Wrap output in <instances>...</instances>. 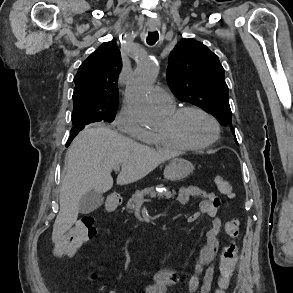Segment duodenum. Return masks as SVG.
Returning <instances> with one entry per match:
<instances>
[{
  "label": "duodenum",
  "instance_id": "obj_1",
  "mask_svg": "<svg viewBox=\"0 0 293 293\" xmlns=\"http://www.w3.org/2000/svg\"><path fill=\"white\" fill-rule=\"evenodd\" d=\"M121 198L117 195H112L108 201L106 208L109 212H113L120 204Z\"/></svg>",
  "mask_w": 293,
  "mask_h": 293
}]
</instances>
